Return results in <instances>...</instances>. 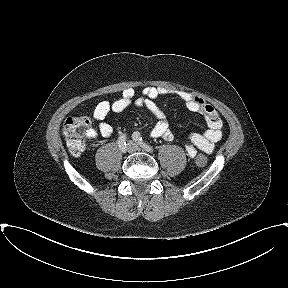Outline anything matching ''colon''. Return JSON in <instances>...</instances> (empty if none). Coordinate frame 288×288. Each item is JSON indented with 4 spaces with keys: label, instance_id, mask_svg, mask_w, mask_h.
Masks as SVG:
<instances>
[{
    "label": "colon",
    "instance_id": "colon-1",
    "mask_svg": "<svg viewBox=\"0 0 288 288\" xmlns=\"http://www.w3.org/2000/svg\"><path fill=\"white\" fill-rule=\"evenodd\" d=\"M92 120L87 116L69 117L63 124V135L70 153L78 157L85 149L87 137L91 134ZM208 159L200 154L196 157L195 163L199 167L207 165Z\"/></svg>",
    "mask_w": 288,
    "mask_h": 288
}]
</instances>
